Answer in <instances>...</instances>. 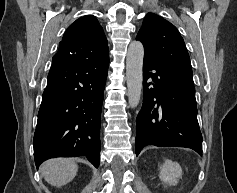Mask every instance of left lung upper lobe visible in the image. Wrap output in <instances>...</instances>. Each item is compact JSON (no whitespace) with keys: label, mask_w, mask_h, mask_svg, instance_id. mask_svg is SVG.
I'll list each match as a JSON object with an SVG mask.
<instances>
[{"label":"left lung upper lobe","mask_w":237,"mask_h":193,"mask_svg":"<svg viewBox=\"0 0 237 193\" xmlns=\"http://www.w3.org/2000/svg\"><path fill=\"white\" fill-rule=\"evenodd\" d=\"M137 39L144 56L175 71L192 76V67L183 38L176 27L162 17L148 13Z\"/></svg>","instance_id":"1"}]
</instances>
